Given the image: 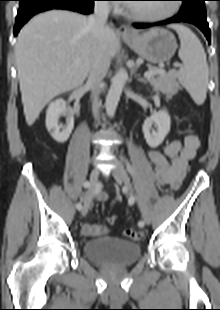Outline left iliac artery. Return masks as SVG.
Listing matches in <instances>:
<instances>
[{
	"label": "left iliac artery",
	"mask_w": 220,
	"mask_h": 310,
	"mask_svg": "<svg viewBox=\"0 0 220 310\" xmlns=\"http://www.w3.org/2000/svg\"><path fill=\"white\" fill-rule=\"evenodd\" d=\"M125 163H126V167H127V170L133 174V170H132V167L130 165V163L128 162V160L126 159L125 160ZM135 203V197H130L129 200H128V204L130 206H132L133 204ZM144 225V221H139L138 222V226L142 227Z\"/></svg>",
	"instance_id": "44dca946"
}]
</instances>
